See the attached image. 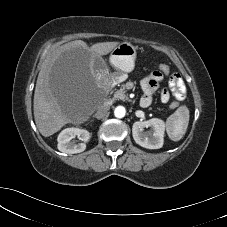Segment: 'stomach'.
Returning a JSON list of instances; mask_svg holds the SVG:
<instances>
[{"instance_id":"stomach-1","label":"stomach","mask_w":227,"mask_h":227,"mask_svg":"<svg viewBox=\"0 0 227 227\" xmlns=\"http://www.w3.org/2000/svg\"><path fill=\"white\" fill-rule=\"evenodd\" d=\"M136 48L129 42H123L113 49L110 63L120 74L131 72L134 69Z\"/></svg>"}]
</instances>
